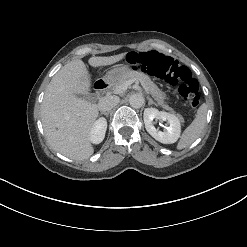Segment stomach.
Returning a JSON list of instances; mask_svg holds the SVG:
<instances>
[{"label":"stomach","mask_w":247,"mask_h":247,"mask_svg":"<svg viewBox=\"0 0 247 247\" xmlns=\"http://www.w3.org/2000/svg\"><path fill=\"white\" fill-rule=\"evenodd\" d=\"M131 71L127 66L120 65L118 67L113 68L108 71L104 76V80L106 83L114 85L117 84L119 79L127 72Z\"/></svg>","instance_id":"1"}]
</instances>
